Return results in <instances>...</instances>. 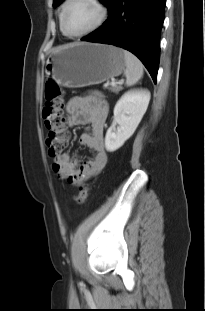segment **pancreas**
Returning a JSON list of instances; mask_svg holds the SVG:
<instances>
[{
	"label": "pancreas",
	"mask_w": 205,
	"mask_h": 311,
	"mask_svg": "<svg viewBox=\"0 0 205 311\" xmlns=\"http://www.w3.org/2000/svg\"><path fill=\"white\" fill-rule=\"evenodd\" d=\"M110 89H111V91H113V92H115V93H118V92L122 89V87H121V86L114 85V86H112Z\"/></svg>",
	"instance_id": "1"
}]
</instances>
